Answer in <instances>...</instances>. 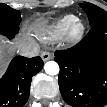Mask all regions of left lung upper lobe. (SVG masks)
Masks as SVG:
<instances>
[{"label":"left lung upper lobe","instance_id":"1","mask_svg":"<svg viewBox=\"0 0 107 107\" xmlns=\"http://www.w3.org/2000/svg\"><path fill=\"white\" fill-rule=\"evenodd\" d=\"M81 8L87 13L90 25L96 26L102 21L107 20V12L88 2L80 4Z\"/></svg>","mask_w":107,"mask_h":107}]
</instances>
